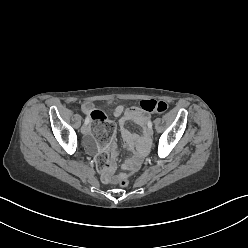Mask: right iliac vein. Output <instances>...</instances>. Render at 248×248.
<instances>
[{"label":"right iliac vein","instance_id":"right-iliac-vein-1","mask_svg":"<svg viewBox=\"0 0 248 248\" xmlns=\"http://www.w3.org/2000/svg\"><path fill=\"white\" fill-rule=\"evenodd\" d=\"M81 132H82V134L86 135L89 132V126L87 124H84L81 127Z\"/></svg>","mask_w":248,"mask_h":248}]
</instances>
